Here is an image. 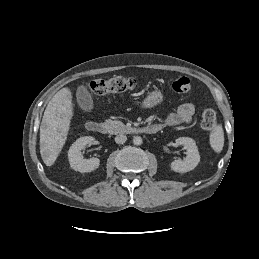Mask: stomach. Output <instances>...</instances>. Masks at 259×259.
Wrapping results in <instances>:
<instances>
[{
  "label": "stomach",
  "instance_id": "0dacf381",
  "mask_svg": "<svg viewBox=\"0 0 259 259\" xmlns=\"http://www.w3.org/2000/svg\"><path fill=\"white\" fill-rule=\"evenodd\" d=\"M164 100L163 94L160 90L154 89L149 92L146 98L142 101L141 106L143 108H153L161 104Z\"/></svg>",
  "mask_w": 259,
  "mask_h": 259
}]
</instances>
